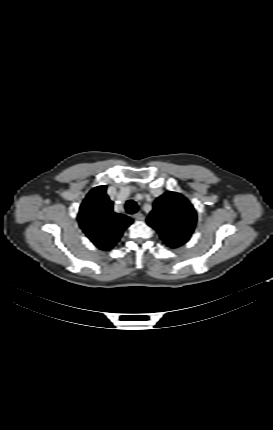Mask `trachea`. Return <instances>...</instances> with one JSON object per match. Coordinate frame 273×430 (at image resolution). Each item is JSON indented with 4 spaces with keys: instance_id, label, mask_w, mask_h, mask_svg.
Listing matches in <instances>:
<instances>
[{
    "instance_id": "trachea-1",
    "label": "trachea",
    "mask_w": 273,
    "mask_h": 430,
    "mask_svg": "<svg viewBox=\"0 0 273 430\" xmlns=\"http://www.w3.org/2000/svg\"><path fill=\"white\" fill-rule=\"evenodd\" d=\"M137 209H138L137 204L133 200H128L126 202V211H127V213L134 214V213L137 212Z\"/></svg>"
}]
</instances>
